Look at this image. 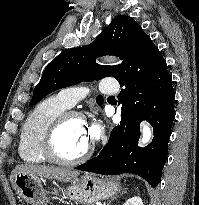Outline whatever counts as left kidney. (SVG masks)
<instances>
[{
	"instance_id": "5707ae66",
	"label": "left kidney",
	"mask_w": 199,
	"mask_h": 205,
	"mask_svg": "<svg viewBox=\"0 0 199 205\" xmlns=\"http://www.w3.org/2000/svg\"><path fill=\"white\" fill-rule=\"evenodd\" d=\"M123 205H143V202L139 196H134L129 198Z\"/></svg>"
}]
</instances>
